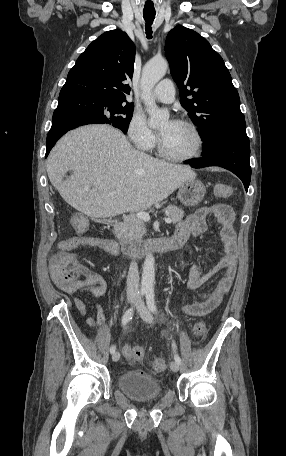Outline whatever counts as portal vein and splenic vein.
<instances>
[{
    "mask_svg": "<svg viewBox=\"0 0 286 456\" xmlns=\"http://www.w3.org/2000/svg\"><path fill=\"white\" fill-rule=\"evenodd\" d=\"M136 216L141 219V220H144V221H149L150 220V216H149V213L147 212H144V211H140L136 214ZM164 221L168 224L172 223V219L171 218H164Z\"/></svg>",
    "mask_w": 286,
    "mask_h": 456,
    "instance_id": "obj_1",
    "label": "portal vein and splenic vein"
}]
</instances>
